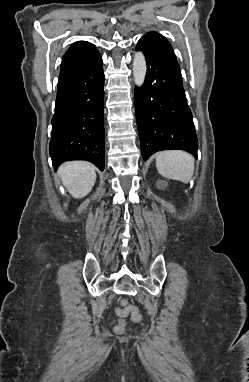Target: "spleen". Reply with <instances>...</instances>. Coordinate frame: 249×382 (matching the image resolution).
Masks as SVG:
<instances>
[{
	"instance_id": "obj_1",
	"label": "spleen",
	"mask_w": 249,
	"mask_h": 382,
	"mask_svg": "<svg viewBox=\"0 0 249 382\" xmlns=\"http://www.w3.org/2000/svg\"><path fill=\"white\" fill-rule=\"evenodd\" d=\"M156 168L163 177L188 183L194 173V158L180 150L161 151L156 154Z\"/></svg>"
}]
</instances>
